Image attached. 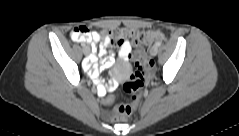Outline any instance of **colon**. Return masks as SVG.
I'll list each match as a JSON object with an SVG mask.
<instances>
[{
  "mask_svg": "<svg viewBox=\"0 0 239 136\" xmlns=\"http://www.w3.org/2000/svg\"><path fill=\"white\" fill-rule=\"evenodd\" d=\"M90 29L86 26L76 27L72 31V37L75 40L88 39ZM98 33V32H97ZM102 37H107L111 46H119L123 43L122 36L124 32L112 29L98 33ZM131 39L139 47L134 51L135 60L134 71L130 74L128 80L124 83L123 89L130 94V102L127 104H118L113 107L112 119L117 122L125 121L139 106L140 92L145 84L147 76L151 73L154 63L149 58L145 47L152 41L162 38V33L158 30L152 31H131Z\"/></svg>",
  "mask_w": 239,
  "mask_h": 136,
  "instance_id": "colon-1",
  "label": "colon"
}]
</instances>
